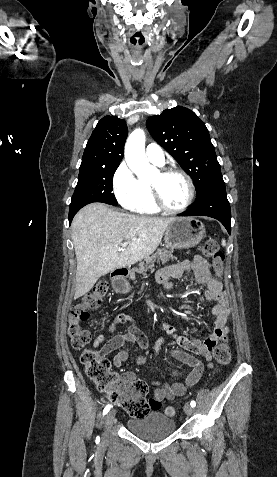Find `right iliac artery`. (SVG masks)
I'll use <instances>...</instances> for the list:
<instances>
[{"label": "right iliac artery", "mask_w": 277, "mask_h": 477, "mask_svg": "<svg viewBox=\"0 0 277 477\" xmlns=\"http://www.w3.org/2000/svg\"><path fill=\"white\" fill-rule=\"evenodd\" d=\"M110 409H111V405L109 404V405H107V406L104 408L103 414H104V415L107 414Z\"/></svg>", "instance_id": "82829eb1"}]
</instances>
